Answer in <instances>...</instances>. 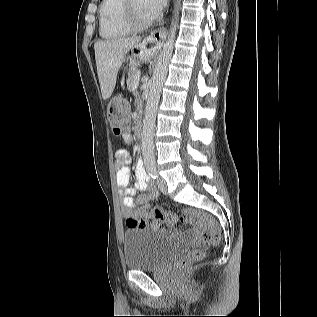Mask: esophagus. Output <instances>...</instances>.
Listing matches in <instances>:
<instances>
[{"label": "esophagus", "instance_id": "34e87169", "mask_svg": "<svg viewBox=\"0 0 317 317\" xmlns=\"http://www.w3.org/2000/svg\"><path fill=\"white\" fill-rule=\"evenodd\" d=\"M166 37V32L164 27H160L157 30L152 31L146 38L145 40L147 41H156L160 42Z\"/></svg>", "mask_w": 317, "mask_h": 317}]
</instances>
